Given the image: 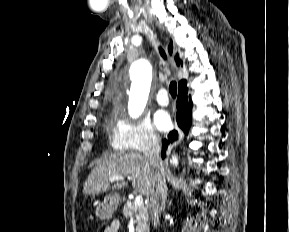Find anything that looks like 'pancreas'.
Listing matches in <instances>:
<instances>
[{"mask_svg": "<svg viewBox=\"0 0 289 232\" xmlns=\"http://www.w3.org/2000/svg\"><path fill=\"white\" fill-rule=\"evenodd\" d=\"M126 218L134 217L137 223L136 232H149L148 209L144 205L136 206L134 202L128 201L122 210Z\"/></svg>", "mask_w": 289, "mask_h": 232, "instance_id": "pancreas-1", "label": "pancreas"}]
</instances>
